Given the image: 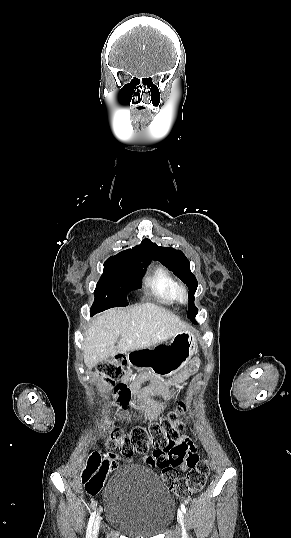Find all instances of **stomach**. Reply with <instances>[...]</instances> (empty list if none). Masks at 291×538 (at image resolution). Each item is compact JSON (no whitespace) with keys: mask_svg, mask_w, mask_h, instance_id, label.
Returning <instances> with one entry per match:
<instances>
[{"mask_svg":"<svg viewBox=\"0 0 291 538\" xmlns=\"http://www.w3.org/2000/svg\"><path fill=\"white\" fill-rule=\"evenodd\" d=\"M196 346L195 332L187 329L176 334L167 345L129 351L127 361L135 368H149L156 376L168 379L174 377L180 364L189 362Z\"/></svg>","mask_w":291,"mask_h":538,"instance_id":"obj_1","label":"stomach"}]
</instances>
